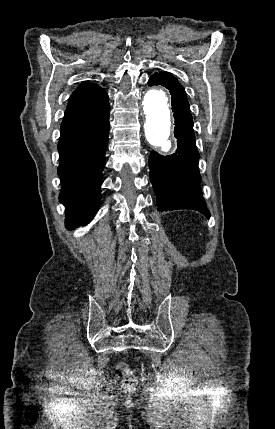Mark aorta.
I'll return each mask as SVG.
<instances>
[{
  "label": "aorta",
  "mask_w": 275,
  "mask_h": 429,
  "mask_svg": "<svg viewBox=\"0 0 275 429\" xmlns=\"http://www.w3.org/2000/svg\"><path fill=\"white\" fill-rule=\"evenodd\" d=\"M143 110L147 141L168 151L171 148L172 116L167 90L161 86L149 88L143 98Z\"/></svg>",
  "instance_id": "aorta-1"
}]
</instances>
